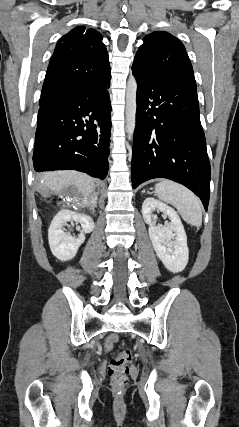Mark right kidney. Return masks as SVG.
I'll list each match as a JSON object with an SVG mask.
<instances>
[{"label": "right kidney", "instance_id": "obj_1", "mask_svg": "<svg viewBox=\"0 0 239 427\" xmlns=\"http://www.w3.org/2000/svg\"><path fill=\"white\" fill-rule=\"evenodd\" d=\"M67 222L80 224L81 232L78 238L64 232L63 225ZM94 227L95 224L90 216L67 209L60 210L53 218L48 230V241L52 254L61 261L71 260L85 241V234L92 232Z\"/></svg>", "mask_w": 239, "mask_h": 427}]
</instances>
